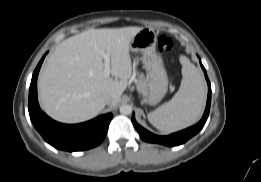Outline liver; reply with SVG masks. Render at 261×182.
<instances>
[{
	"mask_svg": "<svg viewBox=\"0 0 261 182\" xmlns=\"http://www.w3.org/2000/svg\"><path fill=\"white\" fill-rule=\"evenodd\" d=\"M142 27L89 29L61 42L38 79L40 103L53 119L79 123L98 115L104 96L115 106L132 76L130 44ZM110 55L111 77L104 75L103 54Z\"/></svg>",
	"mask_w": 261,
	"mask_h": 182,
	"instance_id": "liver-1",
	"label": "liver"
}]
</instances>
